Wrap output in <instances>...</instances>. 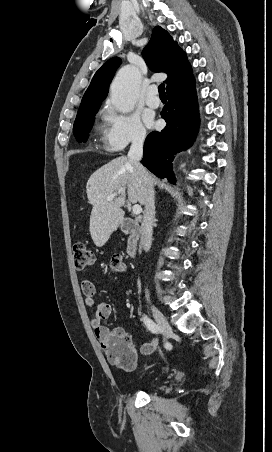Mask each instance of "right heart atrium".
Wrapping results in <instances>:
<instances>
[{"label": "right heart atrium", "instance_id": "obj_1", "mask_svg": "<svg viewBox=\"0 0 272 452\" xmlns=\"http://www.w3.org/2000/svg\"><path fill=\"white\" fill-rule=\"evenodd\" d=\"M106 128L103 132V146L109 151H119L129 144H141L146 130L135 114L115 111L109 104L103 111Z\"/></svg>", "mask_w": 272, "mask_h": 452}]
</instances>
